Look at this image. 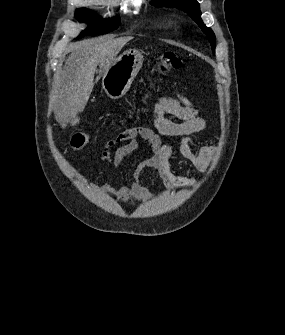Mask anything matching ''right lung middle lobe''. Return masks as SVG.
<instances>
[{
  "label": "right lung middle lobe",
  "instance_id": "right-lung-middle-lobe-1",
  "mask_svg": "<svg viewBox=\"0 0 285 335\" xmlns=\"http://www.w3.org/2000/svg\"><path fill=\"white\" fill-rule=\"evenodd\" d=\"M76 18L78 20H96L95 22L91 23L86 30L82 31L77 39L84 36L106 34L117 29L120 24V18L118 17L102 20L99 17L92 15L91 12L85 9L78 10L76 13Z\"/></svg>",
  "mask_w": 285,
  "mask_h": 335
}]
</instances>
